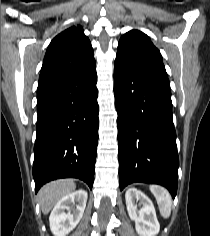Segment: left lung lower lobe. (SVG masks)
Masks as SVG:
<instances>
[{
    "label": "left lung lower lobe",
    "mask_w": 210,
    "mask_h": 236,
    "mask_svg": "<svg viewBox=\"0 0 210 236\" xmlns=\"http://www.w3.org/2000/svg\"><path fill=\"white\" fill-rule=\"evenodd\" d=\"M120 190L133 182L156 183L174 198L179 158L168 78L115 66Z\"/></svg>",
    "instance_id": "1"
}]
</instances>
